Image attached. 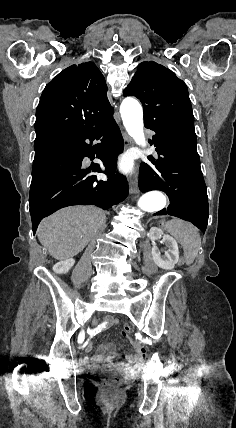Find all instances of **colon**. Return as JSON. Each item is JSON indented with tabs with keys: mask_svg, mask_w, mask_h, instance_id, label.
Wrapping results in <instances>:
<instances>
[{
	"mask_svg": "<svg viewBox=\"0 0 236 428\" xmlns=\"http://www.w3.org/2000/svg\"><path fill=\"white\" fill-rule=\"evenodd\" d=\"M130 331H131V327H130V325L129 324H126L124 327H123V333L124 334H129L130 333ZM121 384V381H120V379L119 378H112V379H109L108 381H107V385L111 388V389H113V390H115V389H117L118 387H119V385Z\"/></svg>",
	"mask_w": 236,
	"mask_h": 428,
	"instance_id": "obj_1",
	"label": "colon"
}]
</instances>
